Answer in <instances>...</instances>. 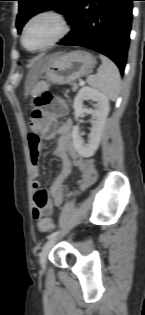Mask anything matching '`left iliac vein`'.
Listing matches in <instances>:
<instances>
[{"instance_id":"obj_1","label":"left iliac vein","mask_w":145,"mask_h":315,"mask_svg":"<svg viewBox=\"0 0 145 315\" xmlns=\"http://www.w3.org/2000/svg\"><path fill=\"white\" fill-rule=\"evenodd\" d=\"M57 237L51 238L47 241V243L44 245L40 256H39V261H40V265L42 268H45L46 266V261H47V256L50 252V250L52 249V247L55 245V243L57 242Z\"/></svg>"}]
</instances>
